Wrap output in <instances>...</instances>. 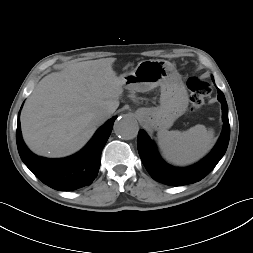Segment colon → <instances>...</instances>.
<instances>
[{
	"instance_id": "5ec220e1",
	"label": "colon",
	"mask_w": 253,
	"mask_h": 253,
	"mask_svg": "<svg viewBox=\"0 0 253 253\" xmlns=\"http://www.w3.org/2000/svg\"><path fill=\"white\" fill-rule=\"evenodd\" d=\"M187 86L191 92V105L194 110H199L205 103L206 97L211 92V87L208 82L192 77L188 80Z\"/></svg>"
}]
</instances>
